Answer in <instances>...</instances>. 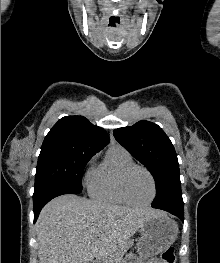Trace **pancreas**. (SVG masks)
<instances>
[{"label":"pancreas","mask_w":220,"mask_h":263,"mask_svg":"<svg viewBox=\"0 0 220 263\" xmlns=\"http://www.w3.org/2000/svg\"><path fill=\"white\" fill-rule=\"evenodd\" d=\"M132 243H133L132 241L128 242L127 245L125 246V249H128L129 246H130Z\"/></svg>","instance_id":"cf45deb5"}]
</instances>
